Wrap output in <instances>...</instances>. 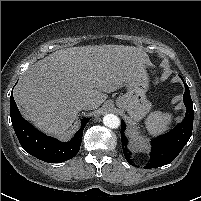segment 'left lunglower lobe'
<instances>
[{
	"label": "left lung lower lobe",
	"instance_id": "obj_1",
	"mask_svg": "<svg viewBox=\"0 0 201 201\" xmlns=\"http://www.w3.org/2000/svg\"><path fill=\"white\" fill-rule=\"evenodd\" d=\"M181 77V76H180ZM183 80V78L181 77ZM184 82V80H183ZM185 92L183 95L184 104L187 108L185 118L182 123L178 124L174 129H172L167 134H164L160 137H157L151 141L152 150L150 153V160L147 165L144 167L148 168H157L171 163L187 144L188 140L192 134L193 128V102L190 96L189 87L185 84ZM125 123L122 120L121 122V141L124 156L129 164L132 165L131 152L127 149L128 140L124 135Z\"/></svg>",
	"mask_w": 201,
	"mask_h": 201
}]
</instances>
